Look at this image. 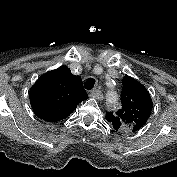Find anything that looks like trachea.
<instances>
[{"label": "trachea", "mask_w": 177, "mask_h": 177, "mask_svg": "<svg viewBox=\"0 0 177 177\" xmlns=\"http://www.w3.org/2000/svg\"><path fill=\"white\" fill-rule=\"evenodd\" d=\"M95 85V79L93 78H88L85 82V87L87 90H91Z\"/></svg>", "instance_id": "1"}]
</instances>
